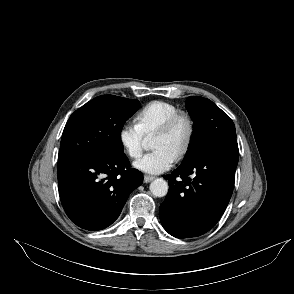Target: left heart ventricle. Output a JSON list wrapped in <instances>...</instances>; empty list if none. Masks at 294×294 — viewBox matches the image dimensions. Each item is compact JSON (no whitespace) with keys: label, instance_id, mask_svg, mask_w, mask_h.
<instances>
[{"label":"left heart ventricle","instance_id":"1","mask_svg":"<svg viewBox=\"0 0 294 294\" xmlns=\"http://www.w3.org/2000/svg\"><path fill=\"white\" fill-rule=\"evenodd\" d=\"M187 135V124L180 121L174 129L165 135H158L152 138V146L155 149L164 148L174 155L182 147Z\"/></svg>","mask_w":294,"mask_h":294}]
</instances>
